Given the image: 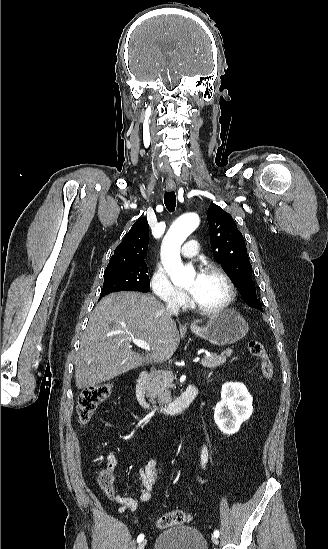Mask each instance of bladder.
Here are the masks:
<instances>
[{
    "label": "bladder",
    "mask_w": 328,
    "mask_h": 549,
    "mask_svg": "<svg viewBox=\"0 0 328 549\" xmlns=\"http://www.w3.org/2000/svg\"><path fill=\"white\" fill-rule=\"evenodd\" d=\"M155 549H207L206 540L197 528L175 526L161 532Z\"/></svg>",
    "instance_id": "1"
}]
</instances>
